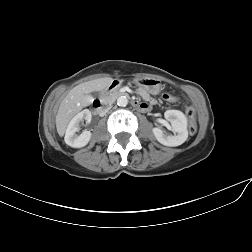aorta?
<instances>
[{
  "label": "aorta",
  "instance_id": "1",
  "mask_svg": "<svg viewBox=\"0 0 252 252\" xmlns=\"http://www.w3.org/2000/svg\"><path fill=\"white\" fill-rule=\"evenodd\" d=\"M128 104V99L126 96H120L117 99V105L121 107H125Z\"/></svg>",
  "mask_w": 252,
  "mask_h": 252
}]
</instances>
